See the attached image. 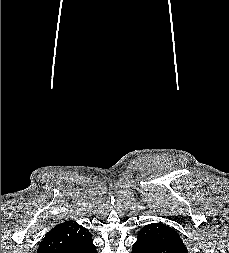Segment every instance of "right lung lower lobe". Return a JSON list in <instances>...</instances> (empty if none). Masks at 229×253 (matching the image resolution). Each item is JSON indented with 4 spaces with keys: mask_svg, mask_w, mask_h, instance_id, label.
<instances>
[{
    "mask_svg": "<svg viewBox=\"0 0 229 253\" xmlns=\"http://www.w3.org/2000/svg\"><path fill=\"white\" fill-rule=\"evenodd\" d=\"M65 253H97V251H96L95 245L92 243V240H91L77 247H74Z\"/></svg>",
    "mask_w": 229,
    "mask_h": 253,
    "instance_id": "1",
    "label": "right lung lower lobe"
}]
</instances>
